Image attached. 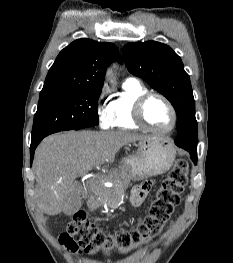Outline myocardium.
I'll return each mask as SVG.
<instances>
[{"mask_svg": "<svg viewBox=\"0 0 233 263\" xmlns=\"http://www.w3.org/2000/svg\"><path fill=\"white\" fill-rule=\"evenodd\" d=\"M152 98L161 99L167 105L168 109L171 112L172 123L167 129H156L152 127L145 118V114H144L145 106L147 102ZM133 118L139 126L151 132L158 133V134L170 133L177 124V113H176V110L173 104L166 96H164L161 93H157V92H147L137 99L134 105V109H133Z\"/></svg>", "mask_w": 233, "mask_h": 263, "instance_id": "myocardium-1", "label": "myocardium"}]
</instances>
